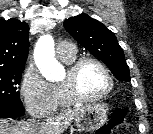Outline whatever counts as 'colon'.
<instances>
[{"instance_id":"obj_1","label":"colon","mask_w":153,"mask_h":134,"mask_svg":"<svg viewBox=\"0 0 153 134\" xmlns=\"http://www.w3.org/2000/svg\"><path fill=\"white\" fill-rule=\"evenodd\" d=\"M96 134H133V129L126 121V112L116 109L108 123L97 130Z\"/></svg>"}]
</instances>
